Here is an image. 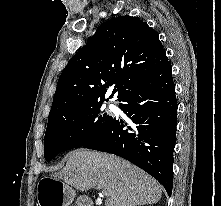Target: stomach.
I'll use <instances>...</instances> for the list:
<instances>
[{"label":"stomach","instance_id":"0dacf381","mask_svg":"<svg viewBox=\"0 0 221 206\" xmlns=\"http://www.w3.org/2000/svg\"><path fill=\"white\" fill-rule=\"evenodd\" d=\"M41 184L48 186L49 191L47 194H43L39 187L38 206H69L72 203L75 193L66 183L47 177L41 181Z\"/></svg>","mask_w":221,"mask_h":206}]
</instances>
